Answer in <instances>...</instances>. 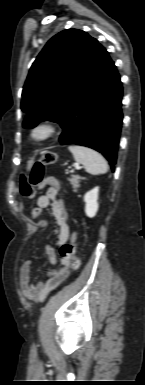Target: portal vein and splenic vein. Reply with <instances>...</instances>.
<instances>
[{"mask_svg":"<svg viewBox=\"0 0 145 385\" xmlns=\"http://www.w3.org/2000/svg\"><path fill=\"white\" fill-rule=\"evenodd\" d=\"M80 168H81V167H80L78 164L75 165V169H76V170H78V169H80Z\"/></svg>","mask_w":145,"mask_h":385,"instance_id":"1","label":"portal vein and splenic vein"}]
</instances>
